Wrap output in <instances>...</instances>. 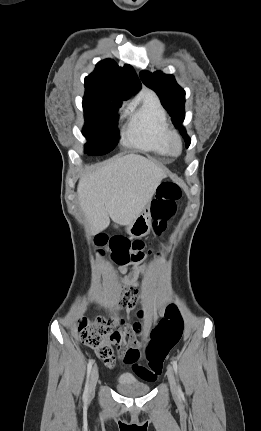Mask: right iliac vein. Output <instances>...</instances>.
<instances>
[{"label":"right iliac vein","mask_w":261,"mask_h":431,"mask_svg":"<svg viewBox=\"0 0 261 431\" xmlns=\"http://www.w3.org/2000/svg\"><path fill=\"white\" fill-rule=\"evenodd\" d=\"M98 367L95 365L92 369L91 379H90V393H93L98 381Z\"/></svg>","instance_id":"right-iliac-vein-1"}]
</instances>
